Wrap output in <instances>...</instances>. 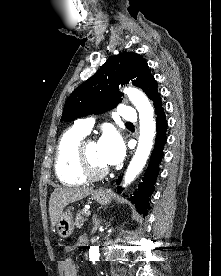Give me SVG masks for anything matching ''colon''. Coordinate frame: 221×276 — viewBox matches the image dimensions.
Instances as JSON below:
<instances>
[{
  "mask_svg": "<svg viewBox=\"0 0 221 276\" xmlns=\"http://www.w3.org/2000/svg\"><path fill=\"white\" fill-rule=\"evenodd\" d=\"M53 246L54 247H65L66 243L65 242H54Z\"/></svg>",
  "mask_w": 221,
  "mask_h": 276,
  "instance_id": "obj_1",
  "label": "colon"
}]
</instances>
